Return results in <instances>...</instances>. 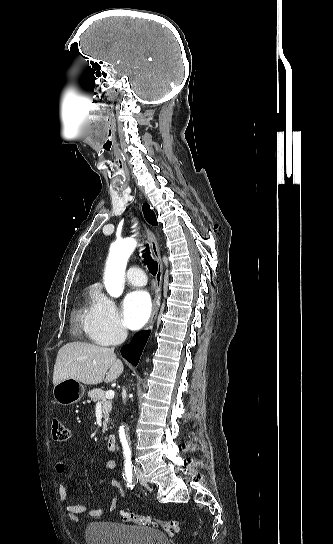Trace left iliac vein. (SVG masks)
Segmentation results:
<instances>
[{
    "label": "left iliac vein",
    "instance_id": "obj_1",
    "mask_svg": "<svg viewBox=\"0 0 333 544\" xmlns=\"http://www.w3.org/2000/svg\"><path fill=\"white\" fill-rule=\"evenodd\" d=\"M136 477H137V479L139 480V482H140L142 485L147 484V481L145 480V478L143 477V475H142V473H141L140 471H137Z\"/></svg>",
    "mask_w": 333,
    "mask_h": 544
}]
</instances>
